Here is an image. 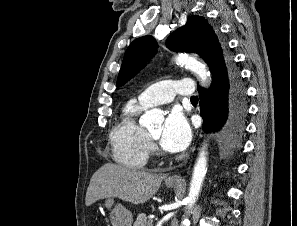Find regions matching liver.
I'll list each match as a JSON object with an SVG mask.
<instances>
[{
  "label": "liver",
  "instance_id": "liver-1",
  "mask_svg": "<svg viewBox=\"0 0 297 226\" xmlns=\"http://www.w3.org/2000/svg\"><path fill=\"white\" fill-rule=\"evenodd\" d=\"M163 179V175L106 163L92 175L85 204L90 206L100 199L111 197L143 204L157 192Z\"/></svg>",
  "mask_w": 297,
  "mask_h": 226
}]
</instances>
